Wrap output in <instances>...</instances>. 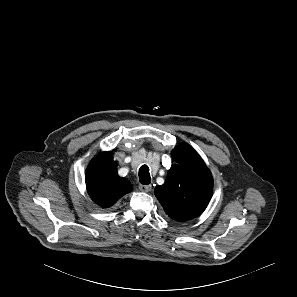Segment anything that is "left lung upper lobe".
<instances>
[{"label":"left lung upper lobe","mask_w":297,"mask_h":297,"mask_svg":"<svg viewBox=\"0 0 297 297\" xmlns=\"http://www.w3.org/2000/svg\"><path fill=\"white\" fill-rule=\"evenodd\" d=\"M172 157L176 164L168 171L165 183L155 188V195L171 219L184 222L206 209L213 192V178L189 144L177 146Z\"/></svg>","instance_id":"left-lung-upper-lobe-1"}]
</instances>
